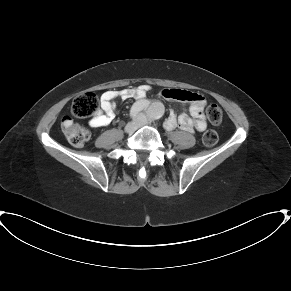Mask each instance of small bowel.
Segmentation results:
<instances>
[{
	"label": "small bowel",
	"instance_id": "1",
	"mask_svg": "<svg viewBox=\"0 0 291 291\" xmlns=\"http://www.w3.org/2000/svg\"><path fill=\"white\" fill-rule=\"evenodd\" d=\"M149 85H140L136 88L124 89L120 91H106L101 95V111H99L89 121L91 128H101L110 125L114 117L115 100H127L134 97L136 99L135 107L142 110L147 107L145 97L150 91ZM159 95L171 101H186L190 103V115L182 113L177 115L171 111L165 120L164 126L168 131L179 127L186 132H203L207 127L206 115L204 111L205 98L203 95L181 89L163 88Z\"/></svg>",
	"mask_w": 291,
	"mask_h": 291
}]
</instances>
